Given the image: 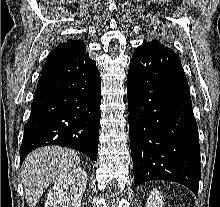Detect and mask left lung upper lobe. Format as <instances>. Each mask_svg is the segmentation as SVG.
<instances>
[{"label": "left lung upper lobe", "mask_w": 220, "mask_h": 207, "mask_svg": "<svg viewBox=\"0 0 220 207\" xmlns=\"http://www.w3.org/2000/svg\"><path fill=\"white\" fill-rule=\"evenodd\" d=\"M145 42H147V41H145ZM148 42H152V43L161 44L160 42H158V40H152V41H148Z\"/></svg>", "instance_id": "1"}]
</instances>
